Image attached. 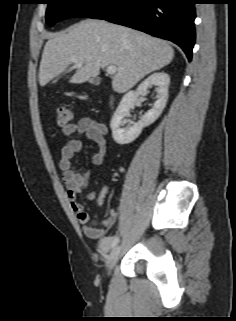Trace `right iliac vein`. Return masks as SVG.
Segmentation results:
<instances>
[{"label": "right iliac vein", "mask_w": 236, "mask_h": 321, "mask_svg": "<svg viewBox=\"0 0 236 321\" xmlns=\"http://www.w3.org/2000/svg\"><path fill=\"white\" fill-rule=\"evenodd\" d=\"M120 246H116L113 248V250L110 252L108 258H107V270L108 273L111 272L112 268L114 267L115 263L118 260L119 254H120Z\"/></svg>", "instance_id": "right-iliac-vein-1"}]
</instances>
